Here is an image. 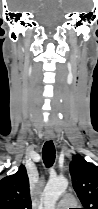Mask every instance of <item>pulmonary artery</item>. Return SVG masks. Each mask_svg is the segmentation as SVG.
Returning a JSON list of instances; mask_svg holds the SVG:
<instances>
[{
    "label": "pulmonary artery",
    "mask_w": 98,
    "mask_h": 209,
    "mask_svg": "<svg viewBox=\"0 0 98 209\" xmlns=\"http://www.w3.org/2000/svg\"><path fill=\"white\" fill-rule=\"evenodd\" d=\"M76 204L77 200L75 196H73L72 194H66L57 204L56 209H70L72 207H75Z\"/></svg>",
    "instance_id": "pulmonary-artery-1"
}]
</instances>
